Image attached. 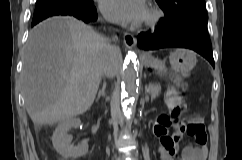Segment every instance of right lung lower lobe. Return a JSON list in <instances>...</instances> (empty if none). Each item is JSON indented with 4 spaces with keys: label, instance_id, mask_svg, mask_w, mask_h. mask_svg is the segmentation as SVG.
<instances>
[{
    "label": "right lung lower lobe",
    "instance_id": "1",
    "mask_svg": "<svg viewBox=\"0 0 242 160\" xmlns=\"http://www.w3.org/2000/svg\"><path fill=\"white\" fill-rule=\"evenodd\" d=\"M73 16L85 23H92L97 20V12L94 4L87 8H68V7H53L37 13H34L32 19V26L36 25L40 21L51 16Z\"/></svg>",
    "mask_w": 242,
    "mask_h": 160
}]
</instances>
